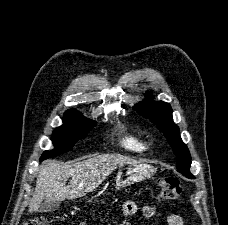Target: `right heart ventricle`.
Here are the masks:
<instances>
[{"label":"right heart ventricle","mask_w":228,"mask_h":225,"mask_svg":"<svg viewBox=\"0 0 228 225\" xmlns=\"http://www.w3.org/2000/svg\"><path fill=\"white\" fill-rule=\"evenodd\" d=\"M119 147L126 152L141 153L149 148V143L143 136L124 134L119 138Z\"/></svg>","instance_id":"e07e8e85"}]
</instances>
